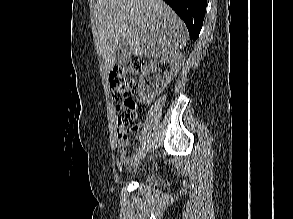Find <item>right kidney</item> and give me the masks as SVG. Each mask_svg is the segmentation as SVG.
Returning <instances> with one entry per match:
<instances>
[{
  "mask_svg": "<svg viewBox=\"0 0 293 219\" xmlns=\"http://www.w3.org/2000/svg\"><path fill=\"white\" fill-rule=\"evenodd\" d=\"M184 61V56L181 53H174L169 56L161 57L159 61L151 60L146 63L141 70V76L138 83V93L139 97L145 102H149L153 100L156 96H158L165 87L173 80V78L178 73L181 64ZM168 63L170 70L164 72V75L159 77V81L155 83L154 87L150 89L145 80L150 72H153L157 68V64Z\"/></svg>",
  "mask_w": 293,
  "mask_h": 219,
  "instance_id": "obj_1",
  "label": "right kidney"
}]
</instances>
